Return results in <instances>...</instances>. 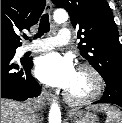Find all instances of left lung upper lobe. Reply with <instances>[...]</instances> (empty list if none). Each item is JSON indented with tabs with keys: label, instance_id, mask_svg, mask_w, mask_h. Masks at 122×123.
Wrapping results in <instances>:
<instances>
[{
	"label": "left lung upper lobe",
	"instance_id": "1",
	"mask_svg": "<svg viewBox=\"0 0 122 123\" xmlns=\"http://www.w3.org/2000/svg\"><path fill=\"white\" fill-rule=\"evenodd\" d=\"M70 15L78 28L81 55L105 79L122 75V47L111 8L106 0H52Z\"/></svg>",
	"mask_w": 122,
	"mask_h": 123
}]
</instances>
